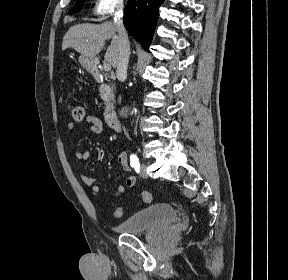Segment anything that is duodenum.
Instances as JSON below:
<instances>
[{"mask_svg": "<svg viewBox=\"0 0 288 280\" xmlns=\"http://www.w3.org/2000/svg\"><path fill=\"white\" fill-rule=\"evenodd\" d=\"M90 72L95 77L96 80L98 81L102 80V74L96 64L93 63L90 65ZM104 115L106 123L112 130L114 131L121 130V124L113 108V101L111 99L107 102Z\"/></svg>", "mask_w": 288, "mask_h": 280, "instance_id": "1", "label": "duodenum"}]
</instances>
